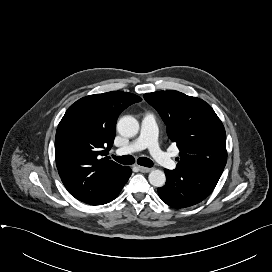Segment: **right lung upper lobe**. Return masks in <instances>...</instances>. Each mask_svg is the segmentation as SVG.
<instances>
[{
  "instance_id": "right-lung-upper-lobe-1",
  "label": "right lung upper lobe",
  "mask_w": 272,
  "mask_h": 272,
  "mask_svg": "<svg viewBox=\"0 0 272 272\" xmlns=\"http://www.w3.org/2000/svg\"><path fill=\"white\" fill-rule=\"evenodd\" d=\"M141 100L112 91L81 98L66 111L56 132L55 159L64 186L76 199L92 196L124 173L127 166L102 156L113 145L120 113Z\"/></svg>"
}]
</instances>
